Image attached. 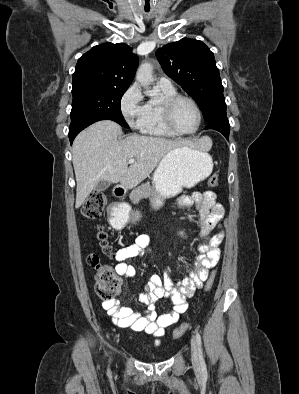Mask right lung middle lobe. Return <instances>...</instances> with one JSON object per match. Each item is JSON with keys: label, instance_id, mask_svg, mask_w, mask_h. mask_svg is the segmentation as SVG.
Returning <instances> with one entry per match:
<instances>
[{"label": "right lung middle lobe", "instance_id": "obj_1", "mask_svg": "<svg viewBox=\"0 0 299 394\" xmlns=\"http://www.w3.org/2000/svg\"><path fill=\"white\" fill-rule=\"evenodd\" d=\"M127 89L100 85L73 87L71 122L98 118L128 127L120 108L121 98Z\"/></svg>", "mask_w": 299, "mask_h": 394}]
</instances>
